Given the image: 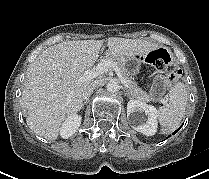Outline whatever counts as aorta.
<instances>
[{"label":"aorta","instance_id":"obj_1","mask_svg":"<svg viewBox=\"0 0 209 179\" xmlns=\"http://www.w3.org/2000/svg\"><path fill=\"white\" fill-rule=\"evenodd\" d=\"M106 89L108 92H116L119 89V84L116 80H111L108 82Z\"/></svg>","mask_w":209,"mask_h":179}]
</instances>
